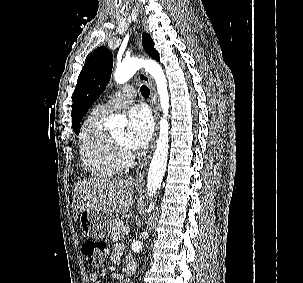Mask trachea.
Wrapping results in <instances>:
<instances>
[{
    "label": "trachea",
    "mask_w": 303,
    "mask_h": 283,
    "mask_svg": "<svg viewBox=\"0 0 303 283\" xmlns=\"http://www.w3.org/2000/svg\"><path fill=\"white\" fill-rule=\"evenodd\" d=\"M140 92L142 94L143 97L148 98L150 95V90L147 86L142 85L140 88Z\"/></svg>",
    "instance_id": "obj_1"
}]
</instances>
